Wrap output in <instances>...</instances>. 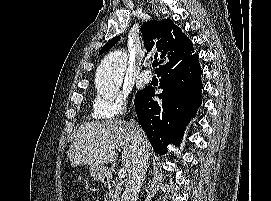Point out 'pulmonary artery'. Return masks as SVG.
Returning a JSON list of instances; mask_svg holds the SVG:
<instances>
[{
	"instance_id": "1",
	"label": "pulmonary artery",
	"mask_w": 271,
	"mask_h": 201,
	"mask_svg": "<svg viewBox=\"0 0 271 201\" xmlns=\"http://www.w3.org/2000/svg\"><path fill=\"white\" fill-rule=\"evenodd\" d=\"M139 79L144 83H148L151 81L152 75L148 70H145L139 75Z\"/></svg>"
}]
</instances>
